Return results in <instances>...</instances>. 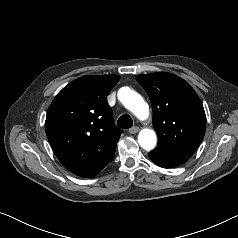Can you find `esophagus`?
Instances as JSON below:
<instances>
[{"label": "esophagus", "instance_id": "1", "mask_svg": "<svg viewBox=\"0 0 238 238\" xmlns=\"http://www.w3.org/2000/svg\"><path fill=\"white\" fill-rule=\"evenodd\" d=\"M138 131H139V127H137V126H134L129 129L130 134H136Z\"/></svg>", "mask_w": 238, "mask_h": 238}]
</instances>
